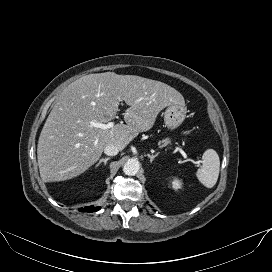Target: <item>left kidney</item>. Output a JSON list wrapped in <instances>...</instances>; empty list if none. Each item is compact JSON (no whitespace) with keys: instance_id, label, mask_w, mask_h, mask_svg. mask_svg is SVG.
Instances as JSON below:
<instances>
[{"instance_id":"obj_1","label":"left kidney","mask_w":272,"mask_h":272,"mask_svg":"<svg viewBox=\"0 0 272 272\" xmlns=\"http://www.w3.org/2000/svg\"><path fill=\"white\" fill-rule=\"evenodd\" d=\"M181 182L179 181V180H177V179H174L173 181H172V187L174 188V189H179V188H181Z\"/></svg>"}]
</instances>
